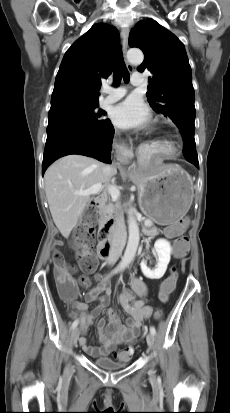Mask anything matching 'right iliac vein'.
I'll return each mask as SVG.
<instances>
[{
  "label": "right iliac vein",
  "mask_w": 230,
  "mask_h": 413,
  "mask_svg": "<svg viewBox=\"0 0 230 413\" xmlns=\"http://www.w3.org/2000/svg\"><path fill=\"white\" fill-rule=\"evenodd\" d=\"M79 338V330L78 328H74L71 332V345L75 346L77 344Z\"/></svg>",
  "instance_id": "1"
}]
</instances>
